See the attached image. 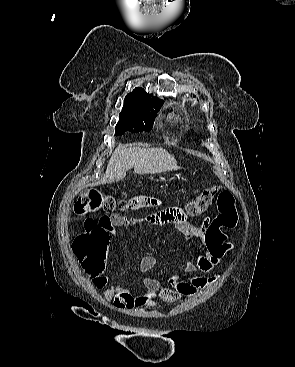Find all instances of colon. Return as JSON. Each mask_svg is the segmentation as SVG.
I'll return each mask as SVG.
<instances>
[{"instance_id":"1","label":"colon","mask_w":295,"mask_h":367,"mask_svg":"<svg viewBox=\"0 0 295 367\" xmlns=\"http://www.w3.org/2000/svg\"><path fill=\"white\" fill-rule=\"evenodd\" d=\"M157 203L156 200L155 205ZM214 203L217 205L219 214L207 231L206 241L214 252L223 254L228 248L223 230L233 229L238 220L233 196L218 186H209L196 199L189 202L185 214L186 217L198 216ZM99 208L111 214L116 209L129 208V201H120L111 195H104L96 189H90L81 193L74 203V211L77 214H89ZM84 227L85 231L73 241V251L85 272L94 277L104 270L108 235L93 219H87Z\"/></svg>"}]
</instances>
